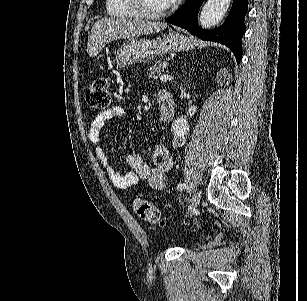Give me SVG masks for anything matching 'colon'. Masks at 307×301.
Instances as JSON below:
<instances>
[{"mask_svg": "<svg viewBox=\"0 0 307 301\" xmlns=\"http://www.w3.org/2000/svg\"><path fill=\"white\" fill-rule=\"evenodd\" d=\"M110 100V90L107 80L102 77L96 78L89 85L86 92V101L88 105L97 110H105L108 108ZM133 210L139 218L150 224H164V219L158 208L144 199H134Z\"/></svg>", "mask_w": 307, "mask_h": 301, "instance_id": "obj_1", "label": "colon"}]
</instances>
